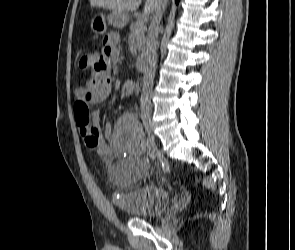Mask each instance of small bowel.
<instances>
[{"mask_svg":"<svg viewBox=\"0 0 295 250\" xmlns=\"http://www.w3.org/2000/svg\"><path fill=\"white\" fill-rule=\"evenodd\" d=\"M119 36L109 33L103 40V48L92 53L93 65L88 81L75 90L76 102L87 101L98 104L104 101L112 91L111 65L119 56ZM133 84L124 85L122 96L131 94ZM79 133L85 147L100 155L112 153L116 162L109 169V178L119 188H127L140 179L149 168V161L143 157L144 146L142 131L133 112H125L114 124L107 122L103 131L99 125L97 112L92 113V120L86 127L79 126ZM111 141V145L107 143Z\"/></svg>","mask_w":295,"mask_h":250,"instance_id":"c3829d8e","label":"small bowel"}]
</instances>
